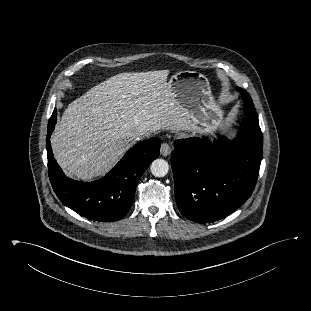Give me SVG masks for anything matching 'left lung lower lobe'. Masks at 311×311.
Returning a JSON list of instances; mask_svg holds the SVG:
<instances>
[{"label": "left lung lower lobe", "mask_w": 311, "mask_h": 311, "mask_svg": "<svg viewBox=\"0 0 311 311\" xmlns=\"http://www.w3.org/2000/svg\"><path fill=\"white\" fill-rule=\"evenodd\" d=\"M258 123L246 118L232 141H175L171 166L176 203L184 217L197 223L217 221L251 196L263 154Z\"/></svg>", "instance_id": "1"}]
</instances>
